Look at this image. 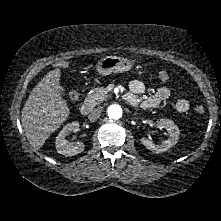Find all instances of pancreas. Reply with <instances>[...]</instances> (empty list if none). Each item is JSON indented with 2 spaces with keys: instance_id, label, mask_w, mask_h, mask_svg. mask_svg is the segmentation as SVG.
Segmentation results:
<instances>
[{
  "instance_id": "cf45deb5",
  "label": "pancreas",
  "mask_w": 221,
  "mask_h": 221,
  "mask_svg": "<svg viewBox=\"0 0 221 221\" xmlns=\"http://www.w3.org/2000/svg\"><path fill=\"white\" fill-rule=\"evenodd\" d=\"M109 98L108 90L106 88H97L93 93L88 94L85 103L93 107Z\"/></svg>"
}]
</instances>
